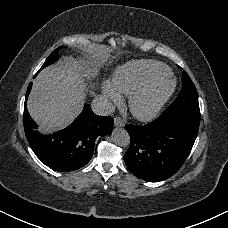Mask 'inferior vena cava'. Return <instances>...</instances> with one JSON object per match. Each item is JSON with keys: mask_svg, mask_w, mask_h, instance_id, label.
<instances>
[{"mask_svg": "<svg viewBox=\"0 0 228 228\" xmlns=\"http://www.w3.org/2000/svg\"><path fill=\"white\" fill-rule=\"evenodd\" d=\"M92 111L96 115L108 116L115 110L114 105L110 102L106 95L96 96L91 103Z\"/></svg>", "mask_w": 228, "mask_h": 228, "instance_id": "obj_1", "label": "inferior vena cava"}]
</instances>
